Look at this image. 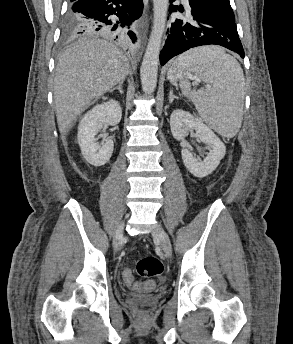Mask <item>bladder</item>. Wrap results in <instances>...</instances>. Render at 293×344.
I'll return each mask as SVG.
<instances>
[{
	"label": "bladder",
	"instance_id": "1",
	"mask_svg": "<svg viewBox=\"0 0 293 344\" xmlns=\"http://www.w3.org/2000/svg\"><path fill=\"white\" fill-rule=\"evenodd\" d=\"M133 298L139 299L142 301H146V302H152L155 300V296H136V295H134Z\"/></svg>",
	"mask_w": 293,
	"mask_h": 344
}]
</instances>
